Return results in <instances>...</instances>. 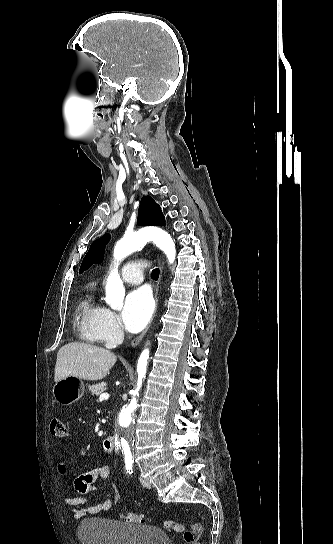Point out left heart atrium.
I'll list each match as a JSON object with an SVG mask.
<instances>
[{"instance_id": "1", "label": "left heart atrium", "mask_w": 333, "mask_h": 544, "mask_svg": "<svg viewBox=\"0 0 333 544\" xmlns=\"http://www.w3.org/2000/svg\"><path fill=\"white\" fill-rule=\"evenodd\" d=\"M153 299L149 289L145 287L131 291L125 300L122 310V321L125 328L139 332L148 323L153 312Z\"/></svg>"}]
</instances>
